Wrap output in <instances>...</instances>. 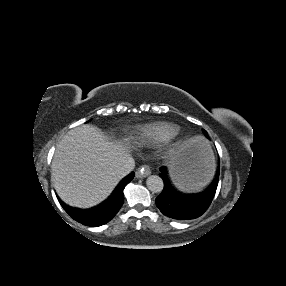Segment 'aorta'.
<instances>
[{"mask_svg":"<svg viewBox=\"0 0 286 286\" xmlns=\"http://www.w3.org/2000/svg\"><path fill=\"white\" fill-rule=\"evenodd\" d=\"M148 189L153 193H160L164 188L163 180L160 176L151 175L146 181Z\"/></svg>","mask_w":286,"mask_h":286,"instance_id":"762f6f07","label":"aorta"}]
</instances>
